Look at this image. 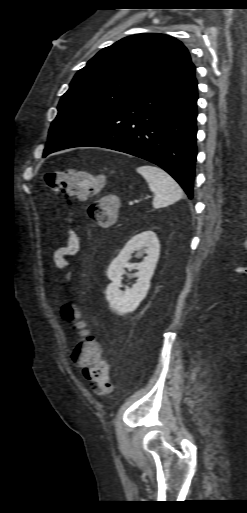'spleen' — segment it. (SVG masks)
Wrapping results in <instances>:
<instances>
[{
  "label": "spleen",
  "mask_w": 247,
  "mask_h": 513,
  "mask_svg": "<svg viewBox=\"0 0 247 513\" xmlns=\"http://www.w3.org/2000/svg\"><path fill=\"white\" fill-rule=\"evenodd\" d=\"M136 170L145 178L150 190L155 194L152 202L155 209L169 206L183 197L178 183L161 168L141 165Z\"/></svg>",
  "instance_id": "spleen-1"
}]
</instances>
